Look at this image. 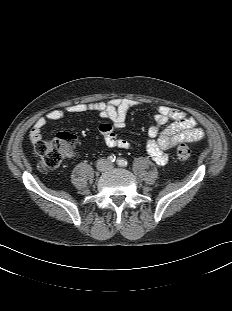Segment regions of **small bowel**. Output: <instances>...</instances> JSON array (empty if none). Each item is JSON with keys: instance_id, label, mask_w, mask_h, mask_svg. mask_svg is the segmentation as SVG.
Masks as SVG:
<instances>
[{"instance_id": "c3829d8e", "label": "small bowel", "mask_w": 232, "mask_h": 311, "mask_svg": "<svg viewBox=\"0 0 232 311\" xmlns=\"http://www.w3.org/2000/svg\"><path fill=\"white\" fill-rule=\"evenodd\" d=\"M140 104L133 99L115 97L109 101L71 104L56 108L34 122L29 132V139L33 144L42 140V130L48 122L63 119L67 114L97 113L101 118L111 121V124L103 123L100 126L105 144L109 147L128 149L131 146L130 142L119 136L116 130L125 127L130 110ZM147 133V152L159 165L167 163V150L181 143L199 141L204 137V131L198 127L193 117L170 106H159L155 109L154 120Z\"/></svg>"}]
</instances>
